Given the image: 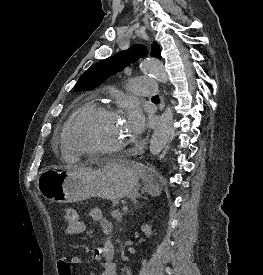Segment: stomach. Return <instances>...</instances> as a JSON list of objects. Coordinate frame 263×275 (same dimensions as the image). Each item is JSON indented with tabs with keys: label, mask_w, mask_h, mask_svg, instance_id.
Listing matches in <instances>:
<instances>
[{
	"label": "stomach",
	"mask_w": 263,
	"mask_h": 275,
	"mask_svg": "<svg viewBox=\"0 0 263 275\" xmlns=\"http://www.w3.org/2000/svg\"><path fill=\"white\" fill-rule=\"evenodd\" d=\"M40 194L56 203L80 202L92 197L117 203L121 198L138 194V172L127 162H109L93 169L76 166L49 168L37 179Z\"/></svg>",
	"instance_id": "0dacf381"
}]
</instances>
